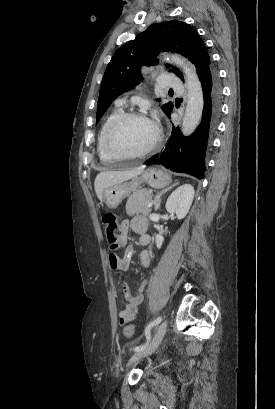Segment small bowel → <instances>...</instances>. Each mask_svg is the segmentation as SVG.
Listing matches in <instances>:
<instances>
[{
	"label": "small bowel",
	"instance_id": "1",
	"mask_svg": "<svg viewBox=\"0 0 275 409\" xmlns=\"http://www.w3.org/2000/svg\"><path fill=\"white\" fill-rule=\"evenodd\" d=\"M136 220H145L144 218L141 217H136L132 220L131 222V227L137 231L133 224ZM127 229H128V224L124 223L121 227L122 231V242H126V237H127ZM139 243L142 246H146L150 243V236L147 234H142ZM133 256V249L130 246H127L125 249L124 256L122 258H116L115 256H110V268L113 270H118V271H126L131 262V258ZM150 255L149 253L144 250L140 254V263L142 268L147 269L150 266ZM146 289V282L142 281L138 285L137 288V293L135 296H129V293L127 291V287L124 285L123 286V292L126 295V297H129V302L125 305V307L120 311L119 316H120V323L125 324L129 321H132L138 314L139 310V305L143 301V294Z\"/></svg>",
	"mask_w": 275,
	"mask_h": 409
}]
</instances>
